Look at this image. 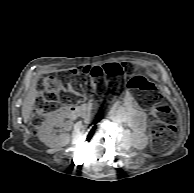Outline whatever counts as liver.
I'll list each match as a JSON object with an SVG mask.
<instances>
[{
	"instance_id": "liver-1",
	"label": "liver",
	"mask_w": 194,
	"mask_h": 193,
	"mask_svg": "<svg viewBox=\"0 0 194 193\" xmlns=\"http://www.w3.org/2000/svg\"><path fill=\"white\" fill-rule=\"evenodd\" d=\"M36 97V89L33 87L22 106V117L25 123L30 120Z\"/></svg>"
}]
</instances>
